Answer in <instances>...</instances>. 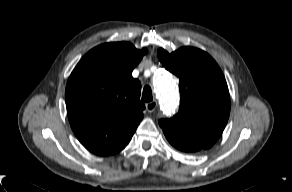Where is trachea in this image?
<instances>
[{"label": "trachea", "instance_id": "3493384b", "mask_svg": "<svg viewBox=\"0 0 292 192\" xmlns=\"http://www.w3.org/2000/svg\"><path fill=\"white\" fill-rule=\"evenodd\" d=\"M152 100V90L149 86H145L143 89L142 101L151 102Z\"/></svg>", "mask_w": 292, "mask_h": 192}]
</instances>
